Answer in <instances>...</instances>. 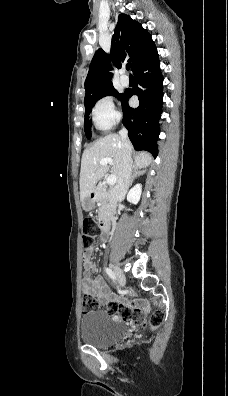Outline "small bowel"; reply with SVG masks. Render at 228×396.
<instances>
[{
  "mask_svg": "<svg viewBox=\"0 0 228 396\" xmlns=\"http://www.w3.org/2000/svg\"><path fill=\"white\" fill-rule=\"evenodd\" d=\"M92 251L93 248L89 247L87 249L86 255L83 257V267L85 270V274L82 280L83 294L93 295L97 297L103 304L120 303L128 305L133 308L138 315H140L143 310L147 309L146 301H130L126 298L113 294L110 291L105 280L101 276H97L95 278L91 277V273L96 272L97 270L95 264L92 262L91 259ZM140 321L141 318L138 316L137 318L132 320V323L138 324Z\"/></svg>",
  "mask_w": 228,
  "mask_h": 396,
  "instance_id": "1",
  "label": "small bowel"
}]
</instances>
